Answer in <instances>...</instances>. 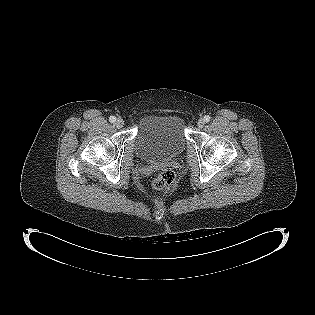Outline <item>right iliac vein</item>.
Masks as SVG:
<instances>
[{
	"instance_id": "right-iliac-vein-1",
	"label": "right iliac vein",
	"mask_w": 315,
	"mask_h": 315,
	"mask_svg": "<svg viewBox=\"0 0 315 315\" xmlns=\"http://www.w3.org/2000/svg\"><path fill=\"white\" fill-rule=\"evenodd\" d=\"M123 125H124L123 119H122V118H117V120L115 121V126H116L117 128H122Z\"/></svg>"
}]
</instances>
